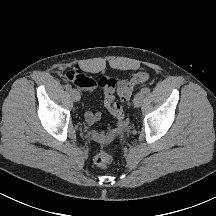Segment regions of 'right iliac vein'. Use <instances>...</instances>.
Masks as SVG:
<instances>
[{
	"mask_svg": "<svg viewBox=\"0 0 216 216\" xmlns=\"http://www.w3.org/2000/svg\"><path fill=\"white\" fill-rule=\"evenodd\" d=\"M70 94H71V97H72L73 101H75V102L80 101L81 96H80V93H79L78 90L71 89Z\"/></svg>",
	"mask_w": 216,
	"mask_h": 216,
	"instance_id": "obj_1",
	"label": "right iliac vein"
}]
</instances>
